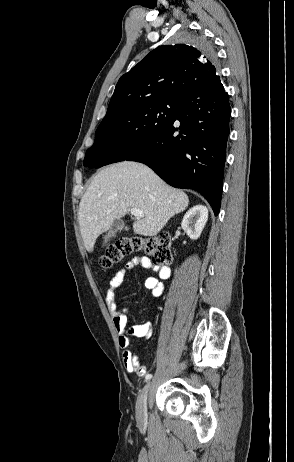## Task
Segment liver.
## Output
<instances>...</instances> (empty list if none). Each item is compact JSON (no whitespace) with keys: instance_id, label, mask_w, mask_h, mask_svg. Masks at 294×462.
Returning a JSON list of instances; mask_svg holds the SVG:
<instances>
[{"instance_id":"liver-1","label":"liver","mask_w":294,"mask_h":462,"mask_svg":"<svg viewBox=\"0 0 294 462\" xmlns=\"http://www.w3.org/2000/svg\"><path fill=\"white\" fill-rule=\"evenodd\" d=\"M189 204L188 196L167 185L144 164L123 161L95 175L79 204V225L85 248L92 252L97 237L131 208L144 217L133 223L136 234L157 235Z\"/></svg>"}]
</instances>
